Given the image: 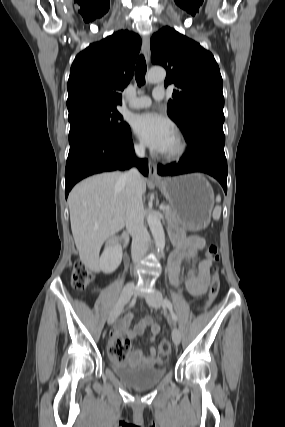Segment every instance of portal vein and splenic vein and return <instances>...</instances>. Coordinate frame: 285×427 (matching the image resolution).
<instances>
[{"mask_svg":"<svg viewBox=\"0 0 285 427\" xmlns=\"http://www.w3.org/2000/svg\"><path fill=\"white\" fill-rule=\"evenodd\" d=\"M160 209H161V210H166V209H167V206H165V205H161V206H160Z\"/></svg>","mask_w":285,"mask_h":427,"instance_id":"1","label":"portal vein and splenic vein"}]
</instances>
